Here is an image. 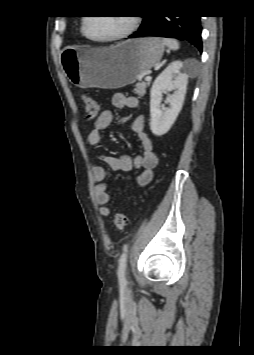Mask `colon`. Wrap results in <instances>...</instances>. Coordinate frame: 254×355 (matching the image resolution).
<instances>
[{
    "label": "colon",
    "mask_w": 254,
    "mask_h": 355,
    "mask_svg": "<svg viewBox=\"0 0 254 355\" xmlns=\"http://www.w3.org/2000/svg\"><path fill=\"white\" fill-rule=\"evenodd\" d=\"M81 104L88 120H94L97 118L99 112V106L97 101L94 98L88 95H82ZM127 224H128V218L126 214L116 213L114 215L113 225L116 230L118 231L124 230Z\"/></svg>",
    "instance_id": "1"
}]
</instances>
